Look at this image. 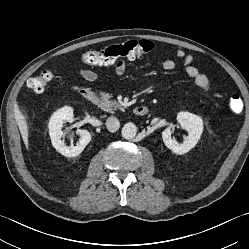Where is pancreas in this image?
Listing matches in <instances>:
<instances>
[{
	"mask_svg": "<svg viewBox=\"0 0 249 249\" xmlns=\"http://www.w3.org/2000/svg\"><path fill=\"white\" fill-rule=\"evenodd\" d=\"M112 96L109 93H100V98L97 102L98 106L109 113H114L117 109L123 110L125 107L115 100H110Z\"/></svg>",
	"mask_w": 249,
	"mask_h": 249,
	"instance_id": "1",
	"label": "pancreas"
}]
</instances>
